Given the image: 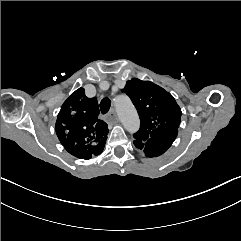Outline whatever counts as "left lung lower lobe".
Instances as JSON below:
<instances>
[{"mask_svg": "<svg viewBox=\"0 0 241 241\" xmlns=\"http://www.w3.org/2000/svg\"><path fill=\"white\" fill-rule=\"evenodd\" d=\"M176 136H177V132H173V133L168 134L165 145L162 147V149L157 151V152H146V151H144L146 156L156 157V156H159V155L163 154L171 146V144L175 140Z\"/></svg>", "mask_w": 241, "mask_h": 241, "instance_id": "1", "label": "left lung lower lobe"}]
</instances>
